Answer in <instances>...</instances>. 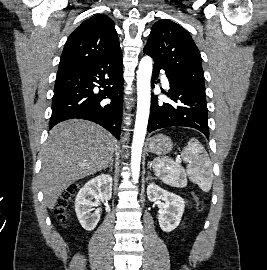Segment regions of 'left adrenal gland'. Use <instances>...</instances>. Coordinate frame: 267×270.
I'll return each instance as SVG.
<instances>
[{
  "label": "left adrenal gland",
  "mask_w": 267,
  "mask_h": 270,
  "mask_svg": "<svg viewBox=\"0 0 267 270\" xmlns=\"http://www.w3.org/2000/svg\"><path fill=\"white\" fill-rule=\"evenodd\" d=\"M149 179H153V177L150 175V171H148V175H147L146 180L148 181Z\"/></svg>",
  "instance_id": "obj_1"
}]
</instances>
